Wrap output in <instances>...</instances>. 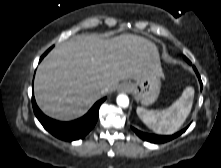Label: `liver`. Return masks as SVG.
Returning <instances> with one entry per match:
<instances>
[{"label": "liver", "instance_id": "1", "mask_svg": "<svg viewBox=\"0 0 221 168\" xmlns=\"http://www.w3.org/2000/svg\"><path fill=\"white\" fill-rule=\"evenodd\" d=\"M161 70L158 48L148 39L122 34L111 39L78 36L55 47L35 76V98L48 116L63 121L81 117L120 81H141Z\"/></svg>", "mask_w": 221, "mask_h": 168}]
</instances>
